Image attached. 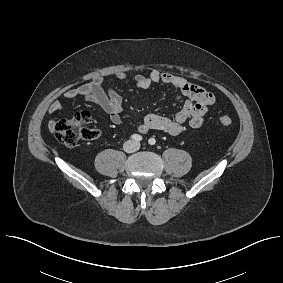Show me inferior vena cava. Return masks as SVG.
Segmentation results:
<instances>
[{"label":"inferior vena cava","instance_id":"inferior-vena-cava-1","mask_svg":"<svg viewBox=\"0 0 283 283\" xmlns=\"http://www.w3.org/2000/svg\"><path fill=\"white\" fill-rule=\"evenodd\" d=\"M136 150V148H134V149H131V150H128V152H132V151H135Z\"/></svg>","mask_w":283,"mask_h":283}]
</instances>
